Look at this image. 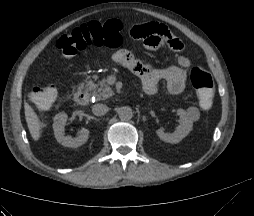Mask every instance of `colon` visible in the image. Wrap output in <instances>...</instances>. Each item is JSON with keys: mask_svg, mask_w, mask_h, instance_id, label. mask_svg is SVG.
<instances>
[{"mask_svg": "<svg viewBox=\"0 0 254 216\" xmlns=\"http://www.w3.org/2000/svg\"><path fill=\"white\" fill-rule=\"evenodd\" d=\"M121 31L122 26L117 20L104 23L91 22L60 37L57 48L66 57L74 56L89 46L116 48L123 42ZM190 81L197 92L201 106L204 109H210L214 95V83L210 73L203 68L194 67L190 72ZM56 97L57 90L51 85L34 88L30 93L31 100L43 109L49 108Z\"/></svg>", "mask_w": 254, "mask_h": 216, "instance_id": "obj_1", "label": "colon"}]
</instances>
